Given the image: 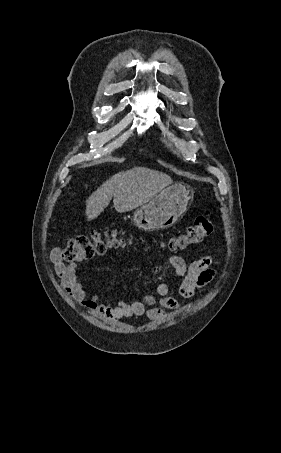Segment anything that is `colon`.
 I'll return each mask as SVG.
<instances>
[{"mask_svg":"<svg viewBox=\"0 0 281 453\" xmlns=\"http://www.w3.org/2000/svg\"><path fill=\"white\" fill-rule=\"evenodd\" d=\"M213 229V221L207 216L198 217L194 224L186 230H174L169 233V249L171 251H186L199 245ZM132 229L127 226L106 228L96 227L90 233H81L71 237L63 251V259L67 262H83L95 256L104 255L108 247L102 239L107 231L126 233Z\"/></svg>","mask_w":281,"mask_h":453,"instance_id":"1","label":"colon"}]
</instances>
